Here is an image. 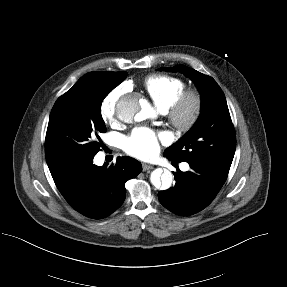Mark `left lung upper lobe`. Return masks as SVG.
I'll return each instance as SVG.
<instances>
[{
	"instance_id": "1",
	"label": "left lung upper lobe",
	"mask_w": 287,
	"mask_h": 287,
	"mask_svg": "<svg viewBox=\"0 0 287 287\" xmlns=\"http://www.w3.org/2000/svg\"><path fill=\"white\" fill-rule=\"evenodd\" d=\"M188 76L201 93V114L192 129L164 155L176 162H198L228 175L236 148L234 126L225 95L215 80L192 68H160Z\"/></svg>"
}]
</instances>
